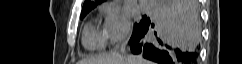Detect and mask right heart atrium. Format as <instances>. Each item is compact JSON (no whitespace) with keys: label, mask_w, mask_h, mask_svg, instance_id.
Returning <instances> with one entry per match:
<instances>
[{"label":"right heart atrium","mask_w":242,"mask_h":64,"mask_svg":"<svg viewBox=\"0 0 242 64\" xmlns=\"http://www.w3.org/2000/svg\"><path fill=\"white\" fill-rule=\"evenodd\" d=\"M104 14L102 33L105 42L112 46L124 43L128 38L131 26L129 17L115 6H107Z\"/></svg>","instance_id":"1"}]
</instances>
